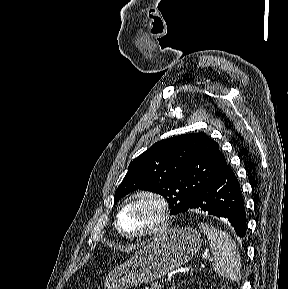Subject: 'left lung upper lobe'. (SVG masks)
I'll return each instance as SVG.
<instances>
[{
  "label": "left lung upper lobe",
  "instance_id": "left-lung-upper-lobe-1",
  "mask_svg": "<svg viewBox=\"0 0 288 289\" xmlns=\"http://www.w3.org/2000/svg\"><path fill=\"white\" fill-rule=\"evenodd\" d=\"M226 165L219 145L205 133L159 141L135 158L115 192L114 203L134 190L162 195L172 214L185 212Z\"/></svg>",
  "mask_w": 288,
  "mask_h": 289
}]
</instances>
